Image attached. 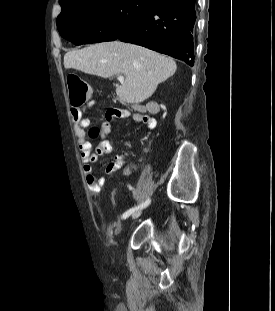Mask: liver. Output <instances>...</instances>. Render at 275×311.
<instances>
[{
    "label": "liver",
    "mask_w": 275,
    "mask_h": 311,
    "mask_svg": "<svg viewBox=\"0 0 275 311\" xmlns=\"http://www.w3.org/2000/svg\"><path fill=\"white\" fill-rule=\"evenodd\" d=\"M66 69L109 78L125 75L116 93L124 103L138 104L148 99L159 83L172 76L175 61L145 47L120 41L103 42L64 56Z\"/></svg>",
    "instance_id": "liver-1"
}]
</instances>
